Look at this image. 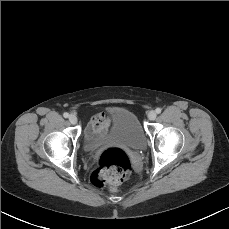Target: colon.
Returning <instances> with one entry per match:
<instances>
[{"instance_id":"1","label":"colon","mask_w":229,"mask_h":229,"mask_svg":"<svg viewBox=\"0 0 229 229\" xmlns=\"http://www.w3.org/2000/svg\"><path fill=\"white\" fill-rule=\"evenodd\" d=\"M130 159L119 148H108L102 152L91 181L96 187L118 186L130 173Z\"/></svg>"}]
</instances>
